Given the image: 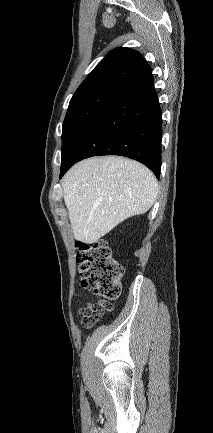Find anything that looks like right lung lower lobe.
I'll return each mask as SVG.
<instances>
[{"label":"right lung lower lobe","instance_id":"98d812e1","mask_svg":"<svg viewBox=\"0 0 213 433\" xmlns=\"http://www.w3.org/2000/svg\"><path fill=\"white\" fill-rule=\"evenodd\" d=\"M161 116L150 72L121 92L76 137L62 156L60 178L77 161L102 155L137 160L159 178Z\"/></svg>","mask_w":213,"mask_h":433}]
</instances>
